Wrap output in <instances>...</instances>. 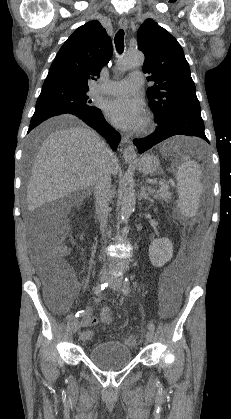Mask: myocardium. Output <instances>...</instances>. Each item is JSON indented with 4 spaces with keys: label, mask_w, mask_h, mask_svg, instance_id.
<instances>
[{
    "label": "myocardium",
    "mask_w": 231,
    "mask_h": 419,
    "mask_svg": "<svg viewBox=\"0 0 231 419\" xmlns=\"http://www.w3.org/2000/svg\"><path fill=\"white\" fill-rule=\"evenodd\" d=\"M151 120H147V122H146V124H145V130H148V129H150V127H151Z\"/></svg>",
    "instance_id": "myocardium-1"
}]
</instances>
